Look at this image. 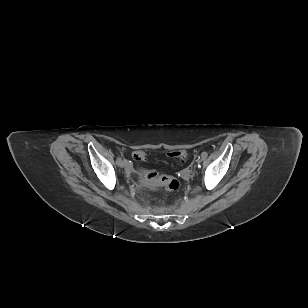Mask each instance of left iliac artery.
I'll return each instance as SVG.
<instances>
[{
	"mask_svg": "<svg viewBox=\"0 0 308 308\" xmlns=\"http://www.w3.org/2000/svg\"><path fill=\"white\" fill-rule=\"evenodd\" d=\"M201 155H202L203 158L207 157V153L206 152H203Z\"/></svg>",
	"mask_w": 308,
	"mask_h": 308,
	"instance_id": "obj_1",
	"label": "left iliac artery"
}]
</instances>
